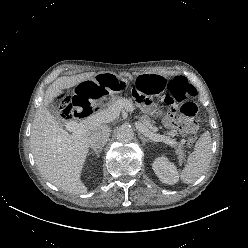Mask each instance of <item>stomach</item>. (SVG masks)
Instances as JSON below:
<instances>
[{
  "mask_svg": "<svg viewBox=\"0 0 248 248\" xmlns=\"http://www.w3.org/2000/svg\"><path fill=\"white\" fill-rule=\"evenodd\" d=\"M135 80L143 90L155 96L162 94L166 87L165 76L157 73H138ZM127 84L128 80L126 78L113 72H100L91 80L77 86L73 92V97L77 103L88 105L102 99L108 92L111 94L118 93ZM157 114L162 115V111H158Z\"/></svg>",
  "mask_w": 248,
  "mask_h": 248,
  "instance_id": "stomach-1",
  "label": "stomach"
}]
</instances>
